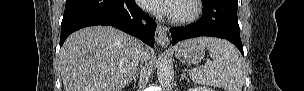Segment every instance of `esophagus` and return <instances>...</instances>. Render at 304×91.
<instances>
[{"mask_svg": "<svg viewBox=\"0 0 304 91\" xmlns=\"http://www.w3.org/2000/svg\"><path fill=\"white\" fill-rule=\"evenodd\" d=\"M155 40L158 45L168 46L169 45V37H168V29L167 27L157 24V29L155 33Z\"/></svg>", "mask_w": 304, "mask_h": 91, "instance_id": "34e87169", "label": "esophagus"}]
</instances>
